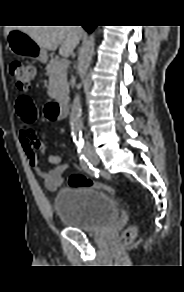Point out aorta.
<instances>
[{
  "label": "aorta",
  "instance_id": "1",
  "mask_svg": "<svg viewBox=\"0 0 184 292\" xmlns=\"http://www.w3.org/2000/svg\"><path fill=\"white\" fill-rule=\"evenodd\" d=\"M94 47H95V34L92 33L88 41L83 46L81 53H80V66H79V74L81 79L85 76L87 73V70L89 68V65L91 63L93 54H94ZM82 86V82L78 84V89H80ZM81 95L80 93H76L71 112H70V122L72 125L73 132L78 137L80 135L82 125H81Z\"/></svg>",
  "mask_w": 184,
  "mask_h": 292
}]
</instances>
